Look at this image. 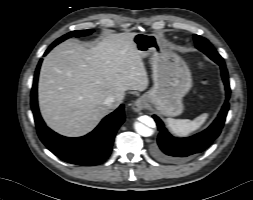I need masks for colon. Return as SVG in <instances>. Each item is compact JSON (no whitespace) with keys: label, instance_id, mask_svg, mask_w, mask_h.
Segmentation results:
<instances>
[{"label":"colon","instance_id":"1","mask_svg":"<svg viewBox=\"0 0 253 200\" xmlns=\"http://www.w3.org/2000/svg\"><path fill=\"white\" fill-rule=\"evenodd\" d=\"M206 83H207V81H206V80H204V81H203V84H206Z\"/></svg>","mask_w":253,"mask_h":200}]
</instances>
